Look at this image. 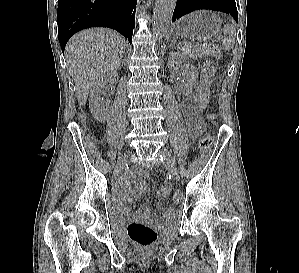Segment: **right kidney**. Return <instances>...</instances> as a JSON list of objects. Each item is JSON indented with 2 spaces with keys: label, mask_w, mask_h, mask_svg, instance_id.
I'll list each match as a JSON object with an SVG mask.
<instances>
[{
  "label": "right kidney",
  "mask_w": 299,
  "mask_h": 273,
  "mask_svg": "<svg viewBox=\"0 0 299 273\" xmlns=\"http://www.w3.org/2000/svg\"><path fill=\"white\" fill-rule=\"evenodd\" d=\"M117 80L118 75L116 73H106L98 77L90 88V110L94 118L101 122L106 119L107 109L111 103L109 99L101 97L102 89H104L109 82Z\"/></svg>",
  "instance_id": "obj_1"
}]
</instances>
